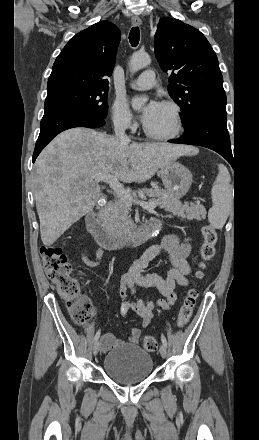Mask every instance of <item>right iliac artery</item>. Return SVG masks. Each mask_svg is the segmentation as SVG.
I'll return each instance as SVG.
<instances>
[{"label": "right iliac artery", "mask_w": 259, "mask_h": 440, "mask_svg": "<svg viewBox=\"0 0 259 440\" xmlns=\"http://www.w3.org/2000/svg\"><path fill=\"white\" fill-rule=\"evenodd\" d=\"M99 337H100V330H98L96 332L95 337H94V342H96L99 339Z\"/></svg>", "instance_id": "right-iliac-artery-1"}]
</instances>
